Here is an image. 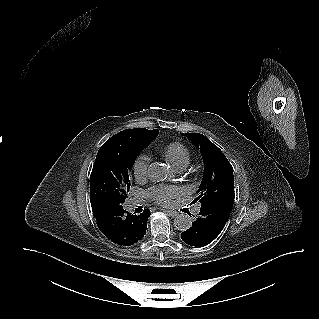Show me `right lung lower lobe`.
Wrapping results in <instances>:
<instances>
[{"label": "right lung lower lobe", "instance_id": "obj_1", "mask_svg": "<svg viewBox=\"0 0 319 319\" xmlns=\"http://www.w3.org/2000/svg\"><path fill=\"white\" fill-rule=\"evenodd\" d=\"M98 228L113 243L131 246L146 233L150 211L145 209L140 215L126 212L121 204L102 205L92 209Z\"/></svg>", "mask_w": 319, "mask_h": 319}]
</instances>
